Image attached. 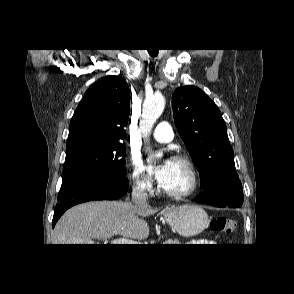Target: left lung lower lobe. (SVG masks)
I'll list each match as a JSON object with an SVG mask.
<instances>
[{
  "instance_id": "left-lung-lower-lobe-1",
  "label": "left lung lower lobe",
  "mask_w": 294,
  "mask_h": 294,
  "mask_svg": "<svg viewBox=\"0 0 294 294\" xmlns=\"http://www.w3.org/2000/svg\"><path fill=\"white\" fill-rule=\"evenodd\" d=\"M243 190L240 189H224L210 195H200L194 201L211 204L217 207L238 208L243 204Z\"/></svg>"
}]
</instances>
